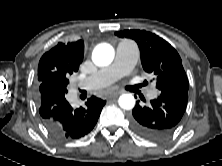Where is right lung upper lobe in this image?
I'll use <instances>...</instances> for the list:
<instances>
[{
    "label": "right lung upper lobe",
    "instance_id": "obj_1",
    "mask_svg": "<svg viewBox=\"0 0 222 166\" xmlns=\"http://www.w3.org/2000/svg\"><path fill=\"white\" fill-rule=\"evenodd\" d=\"M84 54V44L81 40L76 42L58 43L50 51L46 52L40 60L66 59L81 63Z\"/></svg>",
    "mask_w": 222,
    "mask_h": 166
}]
</instances>
